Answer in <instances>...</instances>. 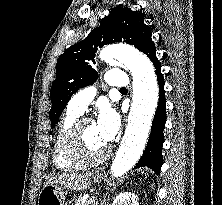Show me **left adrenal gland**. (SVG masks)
Segmentation results:
<instances>
[{
    "label": "left adrenal gland",
    "mask_w": 222,
    "mask_h": 205,
    "mask_svg": "<svg viewBox=\"0 0 222 205\" xmlns=\"http://www.w3.org/2000/svg\"><path fill=\"white\" fill-rule=\"evenodd\" d=\"M107 204V199L104 198V200L100 201V205H106Z\"/></svg>",
    "instance_id": "a2214340"
}]
</instances>
